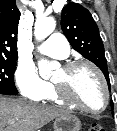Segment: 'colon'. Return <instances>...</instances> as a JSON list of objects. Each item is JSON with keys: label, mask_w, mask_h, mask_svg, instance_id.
Wrapping results in <instances>:
<instances>
[{"label": "colon", "mask_w": 117, "mask_h": 131, "mask_svg": "<svg viewBox=\"0 0 117 131\" xmlns=\"http://www.w3.org/2000/svg\"><path fill=\"white\" fill-rule=\"evenodd\" d=\"M88 131H105V129L99 124H93L90 126Z\"/></svg>", "instance_id": "1"}]
</instances>
